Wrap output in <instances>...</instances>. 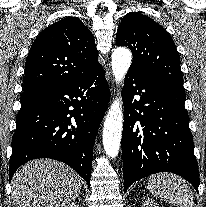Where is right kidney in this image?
I'll return each instance as SVG.
<instances>
[{
    "label": "right kidney",
    "instance_id": "obj_1",
    "mask_svg": "<svg viewBox=\"0 0 206 207\" xmlns=\"http://www.w3.org/2000/svg\"><path fill=\"white\" fill-rule=\"evenodd\" d=\"M66 207H79V205L77 203H71L67 205Z\"/></svg>",
    "mask_w": 206,
    "mask_h": 207
}]
</instances>
